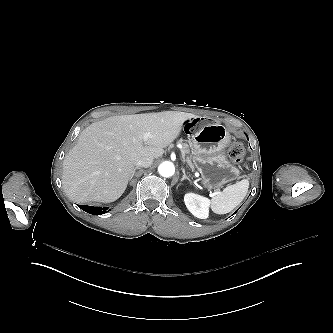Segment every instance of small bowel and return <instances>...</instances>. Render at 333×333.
Wrapping results in <instances>:
<instances>
[{
    "label": "small bowel",
    "instance_id": "obj_1",
    "mask_svg": "<svg viewBox=\"0 0 333 333\" xmlns=\"http://www.w3.org/2000/svg\"><path fill=\"white\" fill-rule=\"evenodd\" d=\"M182 129L186 133H195L199 129V124L195 119L188 118L183 122Z\"/></svg>",
    "mask_w": 333,
    "mask_h": 333
}]
</instances>
